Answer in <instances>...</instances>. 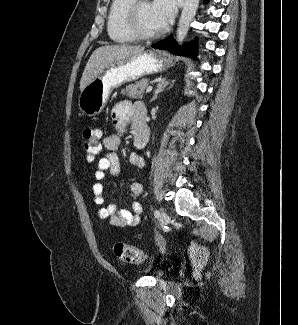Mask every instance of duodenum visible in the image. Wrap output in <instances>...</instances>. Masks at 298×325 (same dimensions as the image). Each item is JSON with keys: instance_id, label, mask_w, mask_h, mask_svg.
<instances>
[{"instance_id": "obj_1", "label": "duodenum", "mask_w": 298, "mask_h": 325, "mask_svg": "<svg viewBox=\"0 0 298 325\" xmlns=\"http://www.w3.org/2000/svg\"><path fill=\"white\" fill-rule=\"evenodd\" d=\"M133 128L135 132V145L144 147L149 138V127L147 122V110L143 103H136L132 115Z\"/></svg>"}]
</instances>
